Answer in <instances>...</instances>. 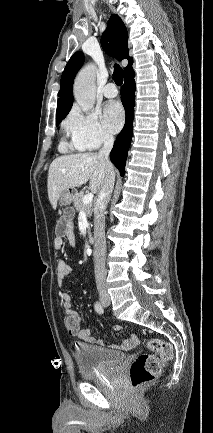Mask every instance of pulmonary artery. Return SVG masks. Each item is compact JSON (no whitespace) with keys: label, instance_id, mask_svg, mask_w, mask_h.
Here are the masks:
<instances>
[{"label":"pulmonary artery","instance_id":"obj_1","mask_svg":"<svg viewBox=\"0 0 213 433\" xmlns=\"http://www.w3.org/2000/svg\"><path fill=\"white\" fill-rule=\"evenodd\" d=\"M118 94L117 88L114 83H108L103 88V95L107 98H114Z\"/></svg>","mask_w":213,"mask_h":433}]
</instances>
